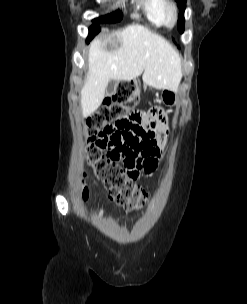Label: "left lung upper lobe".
Returning a JSON list of instances; mask_svg holds the SVG:
<instances>
[{
    "mask_svg": "<svg viewBox=\"0 0 247 304\" xmlns=\"http://www.w3.org/2000/svg\"><path fill=\"white\" fill-rule=\"evenodd\" d=\"M178 3V6L180 7V14L178 17V30L183 33L184 32V11L186 8V0H176Z\"/></svg>",
    "mask_w": 247,
    "mask_h": 304,
    "instance_id": "1",
    "label": "left lung upper lobe"
}]
</instances>
